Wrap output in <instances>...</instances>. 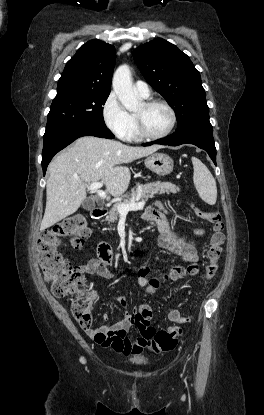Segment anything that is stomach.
<instances>
[{"mask_svg":"<svg viewBox=\"0 0 264 415\" xmlns=\"http://www.w3.org/2000/svg\"><path fill=\"white\" fill-rule=\"evenodd\" d=\"M145 166L158 176H165L173 171L174 162L165 153H153L146 157Z\"/></svg>","mask_w":264,"mask_h":415,"instance_id":"stomach-1","label":"stomach"}]
</instances>
